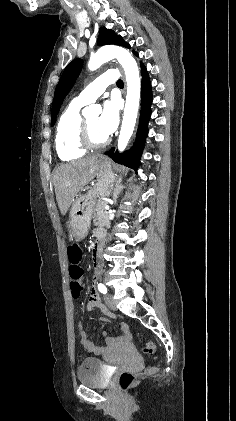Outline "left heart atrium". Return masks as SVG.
<instances>
[{"label":"left heart atrium","instance_id":"left-heart-atrium-1","mask_svg":"<svg viewBox=\"0 0 236 421\" xmlns=\"http://www.w3.org/2000/svg\"><path fill=\"white\" fill-rule=\"evenodd\" d=\"M119 123V112L117 104L114 100H107L99 117V127L107 136L114 132Z\"/></svg>","mask_w":236,"mask_h":421}]
</instances>
